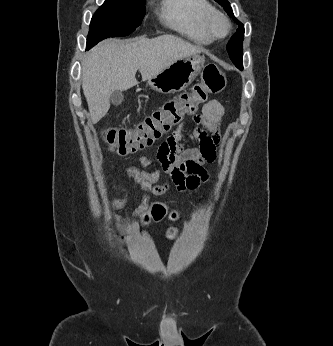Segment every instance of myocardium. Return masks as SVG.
<instances>
[{"label":"myocardium","mask_w":333,"mask_h":346,"mask_svg":"<svg viewBox=\"0 0 333 346\" xmlns=\"http://www.w3.org/2000/svg\"><path fill=\"white\" fill-rule=\"evenodd\" d=\"M216 21H222L225 25V30L222 34H218L215 30L214 25ZM207 27L211 36L215 39L226 37L230 33V30H231V24L228 17L223 12L216 9L208 16Z\"/></svg>","instance_id":"myocardium-1"}]
</instances>
